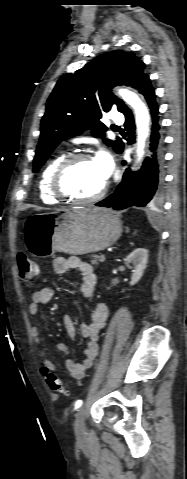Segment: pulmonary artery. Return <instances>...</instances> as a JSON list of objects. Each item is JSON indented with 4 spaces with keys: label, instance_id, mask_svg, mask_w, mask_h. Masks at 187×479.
Here are the masks:
<instances>
[{
    "label": "pulmonary artery",
    "instance_id": "pulmonary-artery-1",
    "mask_svg": "<svg viewBox=\"0 0 187 479\" xmlns=\"http://www.w3.org/2000/svg\"><path fill=\"white\" fill-rule=\"evenodd\" d=\"M111 121H112V123L116 124V126H119V125L123 124L124 117H123L122 114L114 112L112 117H111Z\"/></svg>",
    "mask_w": 187,
    "mask_h": 479
}]
</instances>
